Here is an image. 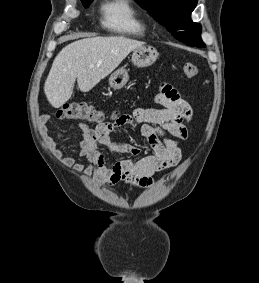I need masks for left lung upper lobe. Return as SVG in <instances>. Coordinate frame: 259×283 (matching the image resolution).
Returning <instances> with one entry per match:
<instances>
[{"label": "left lung upper lobe", "instance_id": "1", "mask_svg": "<svg viewBox=\"0 0 259 283\" xmlns=\"http://www.w3.org/2000/svg\"><path fill=\"white\" fill-rule=\"evenodd\" d=\"M165 25L179 41L194 47H205L201 25L191 20L198 0H135Z\"/></svg>", "mask_w": 259, "mask_h": 283}]
</instances>
